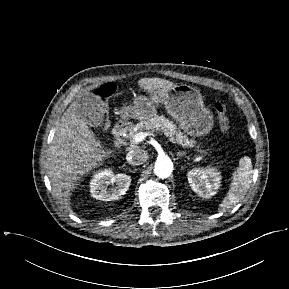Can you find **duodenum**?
I'll return each instance as SVG.
<instances>
[{"instance_id": "1", "label": "duodenum", "mask_w": 289, "mask_h": 289, "mask_svg": "<svg viewBox=\"0 0 289 289\" xmlns=\"http://www.w3.org/2000/svg\"><path fill=\"white\" fill-rule=\"evenodd\" d=\"M129 124L126 121H119L113 128V135L117 146L121 145Z\"/></svg>"}]
</instances>
